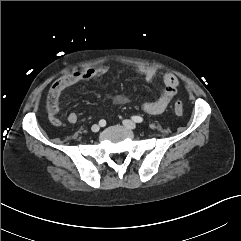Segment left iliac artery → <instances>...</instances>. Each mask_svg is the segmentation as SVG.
Segmentation results:
<instances>
[{"label": "left iliac artery", "instance_id": "44dca946", "mask_svg": "<svg viewBox=\"0 0 241 241\" xmlns=\"http://www.w3.org/2000/svg\"><path fill=\"white\" fill-rule=\"evenodd\" d=\"M132 120L135 121L136 123H141L143 122V118L140 116H133Z\"/></svg>", "mask_w": 241, "mask_h": 241}]
</instances>
